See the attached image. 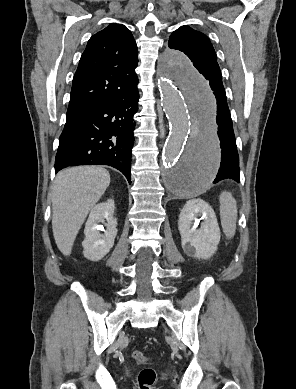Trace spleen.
<instances>
[{
  "instance_id": "obj_1",
  "label": "spleen",
  "mask_w": 296,
  "mask_h": 389,
  "mask_svg": "<svg viewBox=\"0 0 296 389\" xmlns=\"http://www.w3.org/2000/svg\"><path fill=\"white\" fill-rule=\"evenodd\" d=\"M220 218L223 232L227 238H233L236 232L237 203L230 192H223L219 197Z\"/></svg>"
}]
</instances>
